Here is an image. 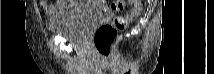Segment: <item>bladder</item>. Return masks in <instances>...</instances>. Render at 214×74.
Listing matches in <instances>:
<instances>
[{"label":"bladder","instance_id":"bladder-1","mask_svg":"<svg viewBox=\"0 0 214 74\" xmlns=\"http://www.w3.org/2000/svg\"><path fill=\"white\" fill-rule=\"evenodd\" d=\"M72 5L58 10L49 21L53 35L72 41H83L88 30L103 16L93 1H71Z\"/></svg>","mask_w":214,"mask_h":74}]
</instances>
